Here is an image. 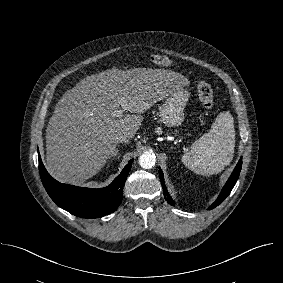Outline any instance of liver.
<instances>
[{
    "label": "liver",
    "mask_w": 283,
    "mask_h": 283,
    "mask_svg": "<svg viewBox=\"0 0 283 283\" xmlns=\"http://www.w3.org/2000/svg\"><path fill=\"white\" fill-rule=\"evenodd\" d=\"M188 84L171 70L112 68L87 76L56 104L46 130V169L56 180L83 184L111 156L116 135L132 139L146 112ZM125 106L126 114L115 111Z\"/></svg>",
    "instance_id": "liver-1"
}]
</instances>
